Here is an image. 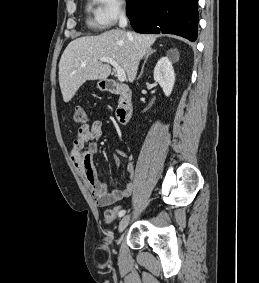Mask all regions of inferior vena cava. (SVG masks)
<instances>
[{
    "label": "inferior vena cava",
    "mask_w": 259,
    "mask_h": 283,
    "mask_svg": "<svg viewBox=\"0 0 259 283\" xmlns=\"http://www.w3.org/2000/svg\"><path fill=\"white\" fill-rule=\"evenodd\" d=\"M127 23H128V19H127L125 13H123L120 17L119 27L125 28V27H127Z\"/></svg>",
    "instance_id": "inferior-vena-cava-1"
}]
</instances>
